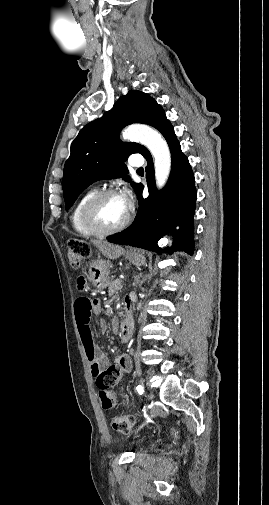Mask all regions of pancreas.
I'll return each instance as SVG.
<instances>
[{"mask_svg": "<svg viewBox=\"0 0 269 505\" xmlns=\"http://www.w3.org/2000/svg\"><path fill=\"white\" fill-rule=\"evenodd\" d=\"M122 281L120 279L114 280L109 285L108 293L110 296L117 294L119 290L122 288Z\"/></svg>", "mask_w": 269, "mask_h": 505, "instance_id": "pancreas-1", "label": "pancreas"}]
</instances>
